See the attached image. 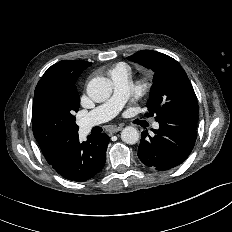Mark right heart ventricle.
Returning <instances> with one entry per match:
<instances>
[{"label":"right heart ventricle","mask_w":232,"mask_h":232,"mask_svg":"<svg viewBox=\"0 0 232 232\" xmlns=\"http://www.w3.org/2000/svg\"><path fill=\"white\" fill-rule=\"evenodd\" d=\"M119 68L128 69V67H127L126 64H124V63H119V64H117V65L111 70V72H112L113 70L119 69Z\"/></svg>","instance_id":"obj_1"}]
</instances>
